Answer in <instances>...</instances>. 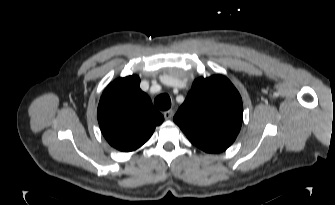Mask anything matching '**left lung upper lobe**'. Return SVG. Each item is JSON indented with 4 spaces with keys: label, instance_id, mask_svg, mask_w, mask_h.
Instances as JSON below:
<instances>
[{
    "label": "left lung upper lobe",
    "instance_id": "5c2ea615",
    "mask_svg": "<svg viewBox=\"0 0 335 205\" xmlns=\"http://www.w3.org/2000/svg\"><path fill=\"white\" fill-rule=\"evenodd\" d=\"M174 122L197 147L208 153L226 150L243 120L239 92L223 75L196 79Z\"/></svg>",
    "mask_w": 335,
    "mask_h": 205
}]
</instances>
